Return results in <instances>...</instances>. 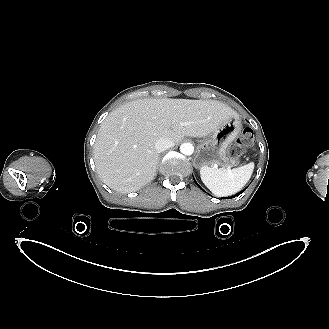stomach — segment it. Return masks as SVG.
I'll use <instances>...</instances> for the list:
<instances>
[{
  "label": "stomach",
  "instance_id": "stomach-1",
  "mask_svg": "<svg viewBox=\"0 0 329 329\" xmlns=\"http://www.w3.org/2000/svg\"><path fill=\"white\" fill-rule=\"evenodd\" d=\"M239 117H230L223 122L209 139L201 143L195 163L197 167L220 166L230 168L239 164V158L229 153L231 143L238 137L241 131Z\"/></svg>",
  "mask_w": 329,
  "mask_h": 329
}]
</instances>
